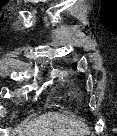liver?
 Returning a JSON list of instances; mask_svg holds the SVG:
<instances>
[{
	"mask_svg": "<svg viewBox=\"0 0 117 136\" xmlns=\"http://www.w3.org/2000/svg\"><path fill=\"white\" fill-rule=\"evenodd\" d=\"M20 136H84L88 128L79 119L49 112L34 119L19 131Z\"/></svg>",
	"mask_w": 117,
	"mask_h": 136,
	"instance_id": "obj_1",
	"label": "liver"
}]
</instances>
